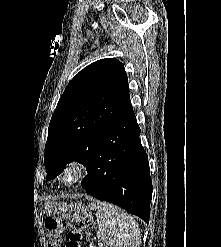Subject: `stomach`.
<instances>
[{"label":"stomach","instance_id":"obj_1","mask_svg":"<svg viewBox=\"0 0 221 247\" xmlns=\"http://www.w3.org/2000/svg\"><path fill=\"white\" fill-rule=\"evenodd\" d=\"M76 209L78 213H82L85 216H91V212L87 207L84 205H67V204H58V203H51V202H45L44 204H41L40 209L41 211L46 215H55L59 212H65L68 209Z\"/></svg>","mask_w":221,"mask_h":247}]
</instances>
